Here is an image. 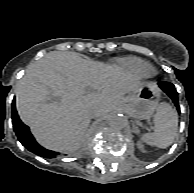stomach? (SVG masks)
Returning <instances> with one entry per match:
<instances>
[{"instance_id": "0dacf381", "label": "stomach", "mask_w": 194, "mask_h": 193, "mask_svg": "<svg viewBox=\"0 0 194 193\" xmlns=\"http://www.w3.org/2000/svg\"><path fill=\"white\" fill-rule=\"evenodd\" d=\"M158 95L155 83H143L136 91L131 92L121 101L120 108L135 119H146L157 108Z\"/></svg>"}]
</instances>
